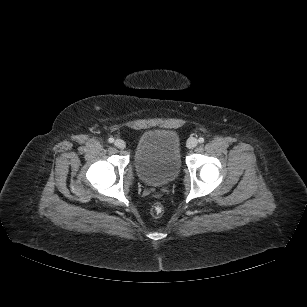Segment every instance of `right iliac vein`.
<instances>
[{
	"mask_svg": "<svg viewBox=\"0 0 307 307\" xmlns=\"http://www.w3.org/2000/svg\"><path fill=\"white\" fill-rule=\"evenodd\" d=\"M114 145L119 148V149H124L126 147V143L121 140V139H117L115 142H114Z\"/></svg>",
	"mask_w": 307,
	"mask_h": 307,
	"instance_id": "1",
	"label": "right iliac vein"
}]
</instances>
